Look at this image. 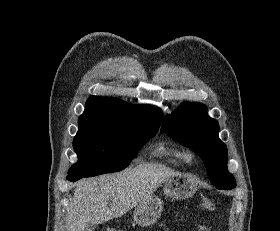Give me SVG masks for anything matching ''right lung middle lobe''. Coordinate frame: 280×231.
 <instances>
[{
	"instance_id": "right-lung-middle-lobe-1",
	"label": "right lung middle lobe",
	"mask_w": 280,
	"mask_h": 231,
	"mask_svg": "<svg viewBox=\"0 0 280 231\" xmlns=\"http://www.w3.org/2000/svg\"><path fill=\"white\" fill-rule=\"evenodd\" d=\"M73 147L78 161L68 175L91 177L126 168L159 128L111 118L78 120Z\"/></svg>"
}]
</instances>
